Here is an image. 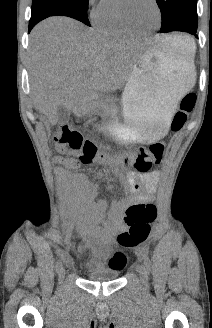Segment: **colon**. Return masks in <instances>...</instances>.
I'll use <instances>...</instances> for the list:
<instances>
[{"label":"colon","instance_id":"5ec220e1","mask_svg":"<svg viewBox=\"0 0 212 328\" xmlns=\"http://www.w3.org/2000/svg\"><path fill=\"white\" fill-rule=\"evenodd\" d=\"M196 94L189 92L183 96L179 108L176 111L172 123V131L181 130L194 109ZM55 143L58 147L69 154L74 155L83 165L98 163L97 168L100 173H112V170H136L137 172H147L153 164L162 161L165 144L155 142L148 148H141L136 155L129 154L123 156L117 154L108 156L101 152L98 146L90 139L83 136L75 125L65 124L60 126L55 135ZM157 217V210L153 204H136L130 206L126 211V221L129 230L118 235V244L123 248H133L143 243L150 233V225ZM112 265H125L126 256L123 252H116L111 258Z\"/></svg>","mask_w":212,"mask_h":328}]
</instances>
